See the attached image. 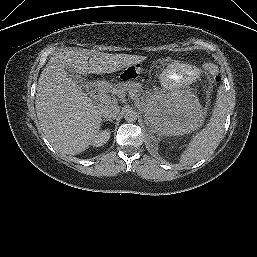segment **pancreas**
I'll return each mask as SVG.
<instances>
[{
	"label": "pancreas",
	"instance_id": "pancreas-1",
	"mask_svg": "<svg viewBox=\"0 0 257 257\" xmlns=\"http://www.w3.org/2000/svg\"><path fill=\"white\" fill-rule=\"evenodd\" d=\"M116 89H121L124 91H130L134 94L133 99L138 101V97L140 95V85L138 83L135 82H126V83H118V84H114L111 86H104L101 89V93H105L108 91H114Z\"/></svg>",
	"mask_w": 257,
	"mask_h": 257
}]
</instances>
